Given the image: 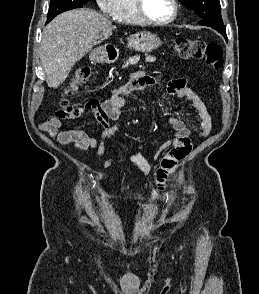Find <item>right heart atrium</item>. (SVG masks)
<instances>
[{
  "mask_svg": "<svg viewBox=\"0 0 259 294\" xmlns=\"http://www.w3.org/2000/svg\"><path fill=\"white\" fill-rule=\"evenodd\" d=\"M120 0H96L101 12L107 16H113L117 10Z\"/></svg>",
  "mask_w": 259,
  "mask_h": 294,
  "instance_id": "1",
  "label": "right heart atrium"
}]
</instances>
